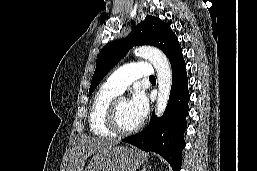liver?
Instances as JSON below:
<instances>
[{
  "instance_id": "6515ba94",
  "label": "liver",
  "mask_w": 257,
  "mask_h": 171,
  "mask_svg": "<svg viewBox=\"0 0 257 171\" xmlns=\"http://www.w3.org/2000/svg\"><path fill=\"white\" fill-rule=\"evenodd\" d=\"M119 142V140L112 139L83 137L81 142L72 150L66 171H83L88 157L103 152Z\"/></svg>"
}]
</instances>
